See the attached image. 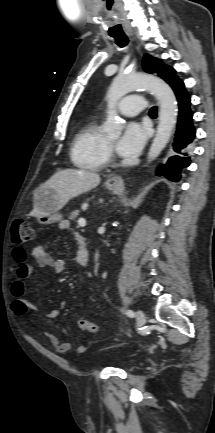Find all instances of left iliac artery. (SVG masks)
Instances as JSON below:
<instances>
[{
  "label": "left iliac artery",
  "mask_w": 215,
  "mask_h": 433,
  "mask_svg": "<svg viewBox=\"0 0 215 433\" xmlns=\"http://www.w3.org/2000/svg\"><path fill=\"white\" fill-rule=\"evenodd\" d=\"M126 314H127V316H129V317H134V316H135V314H134V312H133L132 310H127V311H126Z\"/></svg>",
  "instance_id": "1"
}]
</instances>
